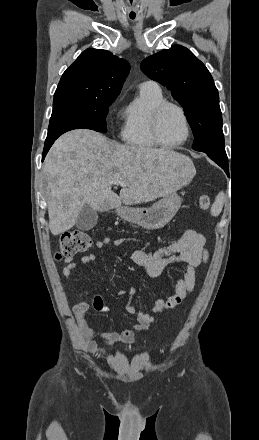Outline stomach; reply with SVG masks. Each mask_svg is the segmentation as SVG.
<instances>
[{"instance_id": "obj_1", "label": "stomach", "mask_w": 259, "mask_h": 440, "mask_svg": "<svg viewBox=\"0 0 259 440\" xmlns=\"http://www.w3.org/2000/svg\"><path fill=\"white\" fill-rule=\"evenodd\" d=\"M182 199L173 192L164 196L151 207L133 208L119 207L117 215L124 221L136 224L147 230L161 229L175 216L181 206Z\"/></svg>"}]
</instances>
